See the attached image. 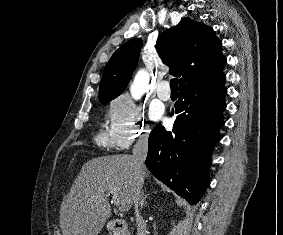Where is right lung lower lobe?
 Wrapping results in <instances>:
<instances>
[{
	"label": "right lung lower lobe",
	"mask_w": 283,
	"mask_h": 235,
	"mask_svg": "<svg viewBox=\"0 0 283 235\" xmlns=\"http://www.w3.org/2000/svg\"><path fill=\"white\" fill-rule=\"evenodd\" d=\"M225 74H217L179 87L173 131L158 125L149 136L146 166L152 174L196 204L209 184L208 170L214 145L220 140L226 108Z\"/></svg>",
	"instance_id": "obj_1"
}]
</instances>
